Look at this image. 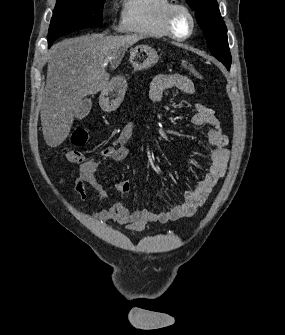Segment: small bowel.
<instances>
[{"mask_svg":"<svg viewBox=\"0 0 285 335\" xmlns=\"http://www.w3.org/2000/svg\"><path fill=\"white\" fill-rule=\"evenodd\" d=\"M176 89L185 95L194 94L192 81L181 74L160 75L156 77L149 89V98L153 103H159L166 92ZM194 114L191 123L195 126H207V139L209 143L208 157L209 166L206 174L199 183L184 196V202L173 206L171 209L162 212H154L149 209L130 210L122 202L117 201L113 205L89 213V216L100 222L114 221L118 224H127L133 232H141L147 224L167 223L181 218L191 217L198 207L202 206L214 190L218 181L226 172V165L229 158L227 149L228 138L223 133L220 122L215 112L210 107L201 104H194ZM135 129V123H127L119 132L110 146L101 150L102 160L118 162L127 156L126 144L130 140ZM98 161L90 159L80 167L79 177L75 181V190L84 200L87 189H92L98 200L104 203L106 194L97 178L96 172ZM130 188L128 181L123 180L116 184L119 194H127Z\"/></svg>","mask_w":285,"mask_h":335,"instance_id":"small-bowel-1","label":"small bowel"}]
</instances>
